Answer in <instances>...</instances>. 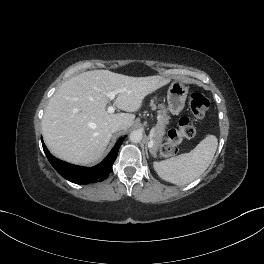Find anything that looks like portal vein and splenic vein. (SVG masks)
Returning <instances> with one entry per match:
<instances>
[{"mask_svg": "<svg viewBox=\"0 0 264 264\" xmlns=\"http://www.w3.org/2000/svg\"><path fill=\"white\" fill-rule=\"evenodd\" d=\"M119 92H123V90L109 91V92L107 93V96H108V98H109L110 100H114L115 97H116V94L119 93ZM114 111H115V108H114L113 106H109V107H108V112H109V113H114ZM153 135H154V132L151 133V138H150V142H149V146H150V147H152L153 144H154V141H153V139H152Z\"/></svg>", "mask_w": 264, "mask_h": 264, "instance_id": "obj_1", "label": "portal vein and splenic vein"}]
</instances>
